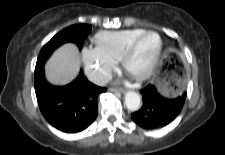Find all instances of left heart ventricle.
I'll use <instances>...</instances> for the list:
<instances>
[{
	"label": "left heart ventricle",
	"mask_w": 225,
	"mask_h": 155,
	"mask_svg": "<svg viewBox=\"0 0 225 155\" xmlns=\"http://www.w3.org/2000/svg\"><path fill=\"white\" fill-rule=\"evenodd\" d=\"M159 45L158 37L146 36L138 45L134 55L129 61L128 70L132 74L141 73L149 65Z\"/></svg>",
	"instance_id": "1"
}]
</instances>
